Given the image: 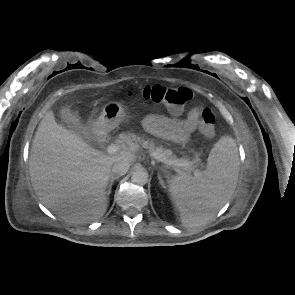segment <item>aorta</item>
Wrapping results in <instances>:
<instances>
[{"label":"aorta","instance_id":"1","mask_svg":"<svg viewBox=\"0 0 295 295\" xmlns=\"http://www.w3.org/2000/svg\"><path fill=\"white\" fill-rule=\"evenodd\" d=\"M131 180L137 185H145L148 181V173L145 169H137L133 172Z\"/></svg>","mask_w":295,"mask_h":295}]
</instances>
